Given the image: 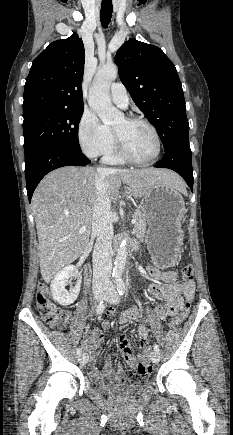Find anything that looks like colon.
Masks as SVG:
<instances>
[{"mask_svg":"<svg viewBox=\"0 0 233 435\" xmlns=\"http://www.w3.org/2000/svg\"><path fill=\"white\" fill-rule=\"evenodd\" d=\"M181 275L184 283L190 285L193 280V266L192 264H186L181 269ZM35 303L42 319L52 328L61 329L63 328L70 319V313L66 309L56 308L50 301V291L47 284L41 282L38 284ZM191 307L190 300L186 299L180 314L174 319V323H179L187 315ZM138 373H143L145 371H151V366L143 361H140L137 365ZM134 382H128L132 384Z\"/></svg>","mask_w":233,"mask_h":435,"instance_id":"obj_1","label":"colon"}]
</instances>
